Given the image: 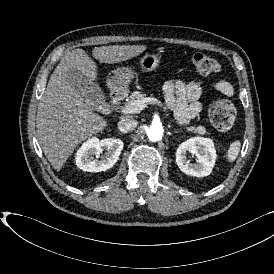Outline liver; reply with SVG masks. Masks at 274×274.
<instances>
[{
    "instance_id": "obj_1",
    "label": "liver",
    "mask_w": 274,
    "mask_h": 274,
    "mask_svg": "<svg viewBox=\"0 0 274 274\" xmlns=\"http://www.w3.org/2000/svg\"><path fill=\"white\" fill-rule=\"evenodd\" d=\"M147 45L94 47L93 58L116 64L140 55ZM99 80L98 66L82 48L65 54L52 73L37 109V136L46 158L56 171L64 168L74 151L87 139L102 133L109 121L92 113V106L74 85Z\"/></svg>"
}]
</instances>
